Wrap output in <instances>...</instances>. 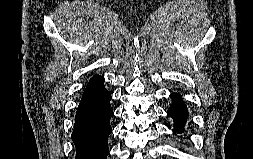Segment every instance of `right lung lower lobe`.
I'll list each match as a JSON object with an SVG mask.
<instances>
[{"label":"right lung lower lobe","mask_w":253,"mask_h":159,"mask_svg":"<svg viewBox=\"0 0 253 159\" xmlns=\"http://www.w3.org/2000/svg\"><path fill=\"white\" fill-rule=\"evenodd\" d=\"M111 93L104 86V78L93 76L80 101L72 140L76 147V159H106L108 137L112 132L110 118Z\"/></svg>","instance_id":"1"}]
</instances>
